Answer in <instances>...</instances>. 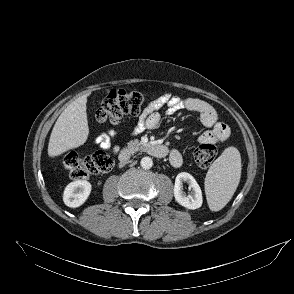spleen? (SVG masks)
I'll return each mask as SVG.
<instances>
[{"label": "spleen", "mask_w": 294, "mask_h": 294, "mask_svg": "<svg viewBox=\"0 0 294 294\" xmlns=\"http://www.w3.org/2000/svg\"><path fill=\"white\" fill-rule=\"evenodd\" d=\"M241 176V157L235 147L226 148L210 166L205 178L209 208L221 210L232 198Z\"/></svg>", "instance_id": "obj_1"}]
</instances>
